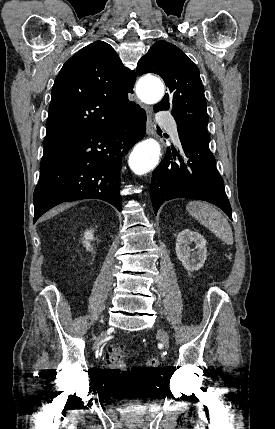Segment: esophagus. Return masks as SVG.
<instances>
[{
  "mask_svg": "<svg viewBox=\"0 0 275 429\" xmlns=\"http://www.w3.org/2000/svg\"><path fill=\"white\" fill-rule=\"evenodd\" d=\"M147 115V123H146V133L148 135L155 134V126L152 120V109L150 106H144Z\"/></svg>",
  "mask_w": 275,
  "mask_h": 429,
  "instance_id": "esophagus-1",
  "label": "esophagus"
}]
</instances>
